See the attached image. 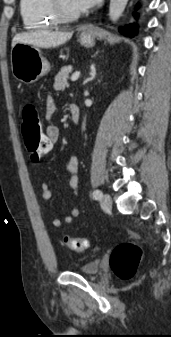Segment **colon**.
<instances>
[{"label":"colon","instance_id":"colon-1","mask_svg":"<svg viewBox=\"0 0 171 337\" xmlns=\"http://www.w3.org/2000/svg\"><path fill=\"white\" fill-rule=\"evenodd\" d=\"M21 132L29 159L38 162L48 151H51L52 140H48L42 133L36 106L27 104L22 112ZM63 243L74 251L88 248L86 238L63 237ZM142 258V250L133 241H126L117 245L110 257V266L114 274L122 280L132 279Z\"/></svg>","mask_w":171,"mask_h":337}]
</instances>
